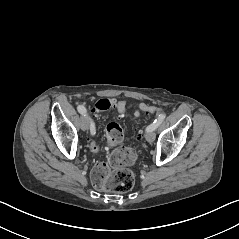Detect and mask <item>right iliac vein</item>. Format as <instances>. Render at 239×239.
Listing matches in <instances>:
<instances>
[{
    "label": "right iliac vein",
    "instance_id": "right-iliac-vein-1",
    "mask_svg": "<svg viewBox=\"0 0 239 239\" xmlns=\"http://www.w3.org/2000/svg\"><path fill=\"white\" fill-rule=\"evenodd\" d=\"M80 128L85 131L89 128V119L87 115H83L80 118Z\"/></svg>",
    "mask_w": 239,
    "mask_h": 239
}]
</instances>
